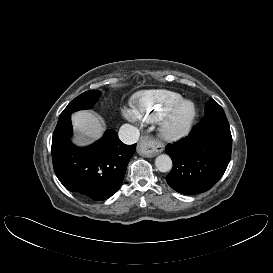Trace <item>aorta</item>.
<instances>
[{
    "label": "aorta",
    "mask_w": 273,
    "mask_h": 273,
    "mask_svg": "<svg viewBox=\"0 0 273 273\" xmlns=\"http://www.w3.org/2000/svg\"><path fill=\"white\" fill-rule=\"evenodd\" d=\"M155 166L157 170L160 172H163V173L168 172L172 168V160L168 155L161 154L156 157Z\"/></svg>",
    "instance_id": "762f6f07"
}]
</instances>
